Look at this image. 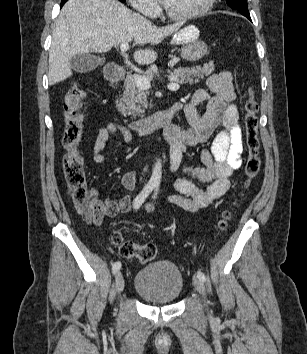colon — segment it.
<instances>
[{"label": "colon", "mask_w": 307, "mask_h": 354, "mask_svg": "<svg viewBox=\"0 0 307 354\" xmlns=\"http://www.w3.org/2000/svg\"><path fill=\"white\" fill-rule=\"evenodd\" d=\"M85 99V91L79 85H73L65 98V130L62 137L66 153L62 166L68 185L70 196L76 210L85 215L94 224H99L109 211L106 204L94 199L86 186V176L83 158L79 150L82 136V115L80 108ZM258 103L253 90L249 91L245 102V141L247 159L244 167V187L248 189L260 170L259 140H258ZM232 218V211L225 210L218 223L220 230H226ZM112 244L118 249L123 258L137 259L145 263L152 261L157 256V248L153 244L139 245L131 240H126L118 232L111 235Z\"/></svg>", "instance_id": "1"}]
</instances>
